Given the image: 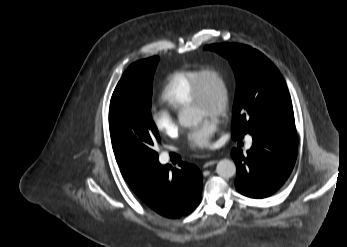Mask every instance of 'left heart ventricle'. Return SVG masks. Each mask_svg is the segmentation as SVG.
I'll list each match as a JSON object with an SVG mask.
<instances>
[{"mask_svg":"<svg viewBox=\"0 0 347 247\" xmlns=\"http://www.w3.org/2000/svg\"><path fill=\"white\" fill-rule=\"evenodd\" d=\"M206 92H207V100H208L207 108L193 107L194 113L199 118L207 116V115H212V111L220 99V88L217 81L213 77H209L207 79Z\"/></svg>","mask_w":347,"mask_h":247,"instance_id":"b2bd125f","label":"left heart ventricle"}]
</instances>
